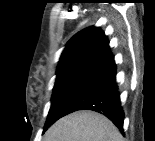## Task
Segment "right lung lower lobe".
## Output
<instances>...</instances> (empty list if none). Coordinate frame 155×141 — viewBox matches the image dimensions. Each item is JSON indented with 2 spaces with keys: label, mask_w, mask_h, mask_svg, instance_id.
<instances>
[{
  "label": "right lung lower lobe",
  "mask_w": 155,
  "mask_h": 141,
  "mask_svg": "<svg viewBox=\"0 0 155 141\" xmlns=\"http://www.w3.org/2000/svg\"><path fill=\"white\" fill-rule=\"evenodd\" d=\"M78 110H93L105 115L123 134L124 113L116 84L113 55L67 101L60 111V118Z\"/></svg>",
  "instance_id": "obj_1"
}]
</instances>
